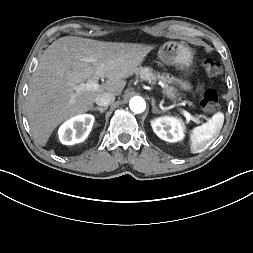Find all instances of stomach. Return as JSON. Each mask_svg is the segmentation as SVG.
<instances>
[{
  "mask_svg": "<svg viewBox=\"0 0 253 253\" xmlns=\"http://www.w3.org/2000/svg\"><path fill=\"white\" fill-rule=\"evenodd\" d=\"M160 60L166 65H174L181 70H187L193 63L192 49L182 42L169 41L164 43L158 52Z\"/></svg>",
  "mask_w": 253,
  "mask_h": 253,
  "instance_id": "stomach-1",
  "label": "stomach"
}]
</instances>
